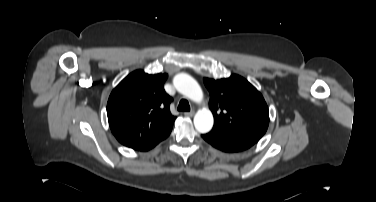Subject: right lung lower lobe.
I'll return each instance as SVG.
<instances>
[{
    "label": "right lung lower lobe",
    "instance_id": "right-lung-lower-lobe-1",
    "mask_svg": "<svg viewBox=\"0 0 376 202\" xmlns=\"http://www.w3.org/2000/svg\"><path fill=\"white\" fill-rule=\"evenodd\" d=\"M169 135V134H168ZM167 135V136H168ZM167 136H165L162 140H164ZM155 146V145H154ZM154 146H152V147H154ZM152 147H149V148H147V149H144V150H142V151H147V150H149L150 148H152Z\"/></svg>",
    "mask_w": 376,
    "mask_h": 202
}]
</instances>
